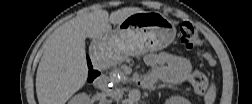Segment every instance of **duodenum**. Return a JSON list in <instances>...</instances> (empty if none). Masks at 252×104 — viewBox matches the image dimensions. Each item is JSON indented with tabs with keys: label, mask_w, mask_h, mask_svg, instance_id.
Listing matches in <instances>:
<instances>
[{
	"label": "duodenum",
	"mask_w": 252,
	"mask_h": 104,
	"mask_svg": "<svg viewBox=\"0 0 252 104\" xmlns=\"http://www.w3.org/2000/svg\"><path fill=\"white\" fill-rule=\"evenodd\" d=\"M108 85V78L105 75H100L99 78L95 81V87L98 90L106 91Z\"/></svg>",
	"instance_id": "obj_1"
}]
</instances>
